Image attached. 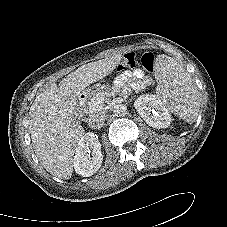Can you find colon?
<instances>
[{"label":"colon","instance_id":"1","mask_svg":"<svg viewBox=\"0 0 227 227\" xmlns=\"http://www.w3.org/2000/svg\"><path fill=\"white\" fill-rule=\"evenodd\" d=\"M155 56L150 53H144L140 58L141 66L148 72L153 73L155 70ZM136 56L134 53H128L125 55L123 61L118 66V70L132 69L136 66Z\"/></svg>","mask_w":227,"mask_h":227}]
</instances>
